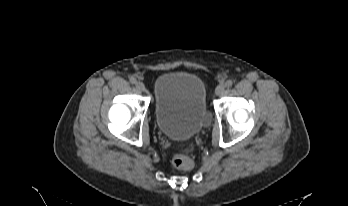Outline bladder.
<instances>
[{"mask_svg": "<svg viewBox=\"0 0 348 206\" xmlns=\"http://www.w3.org/2000/svg\"><path fill=\"white\" fill-rule=\"evenodd\" d=\"M153 89L157 126L169 139H192L210 124L206 88L199 77L164 73L155 79Z\"/></svg>", "mask_w": 348, "mask_h": 206, "instance_id": "obj_1", "label": "bladder"}]
</instances>
